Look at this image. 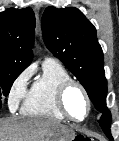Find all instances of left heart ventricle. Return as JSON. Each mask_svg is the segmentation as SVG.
I'll return each instance as SVG.
<instances>
[{"label":"left heart ventricle","instance_id":"obj_1","mask_svg":"<svg viewBox=\"0 0 119 141\" xmlns=\"http://www.w3.org/2000/svg\"><path fill=\"white\" fill-rule=\"evenodd\" d=\"M66 108L75 119H82L87 112V103L84 95L77 87H72L65 98Z\"/></svg>","mask_w":119,"mask_h":141}]
</instances>
